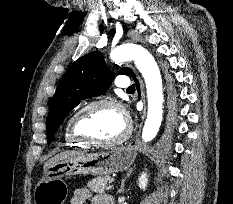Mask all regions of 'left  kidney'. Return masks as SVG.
<instances>
[{
  "mask_svg": "<svg viewBox=\"0 0 233 204\" xmlns=\"http://www.w3.org/2000/svg\"><path fill=\"white\" fill-rule=\"evenodd\" d=\"M139 187L142 190H145L148 184V176L146 172H142L141 175L139 176Z\"/></svg>",
  "mask_w": 233,
  "mask_h": 204,
  "instance_id": "obj_1",
  "label": "left kidney"
}]
</instances>
